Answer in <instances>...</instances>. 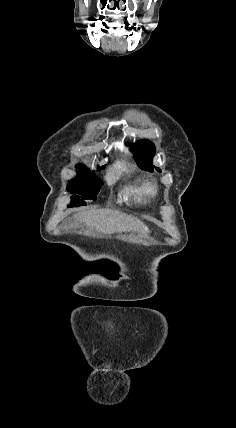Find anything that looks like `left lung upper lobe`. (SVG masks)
I'll return each mask as SVG.
<instances>
[{
	"instance_id": "left-lung-upper-lobe-1",
	"label": "left lung upper lobe",
	"mask_w": 236,
	"mask_h": 428,
	"mask_svg": "<svg viewBox=\"0 0 236 428\" xmlns=\"http://www.w3.org/2000/svg\"><path fill=\"white\" fill-rule=\"evenodd\" d=\"M130 150L135 153V160L140 167L153 171L152 158L155 154L153 143L148 140H140L134 143ZM156 170L160 172L159 168H156Z\"/></svg>"
}]
</instances>
